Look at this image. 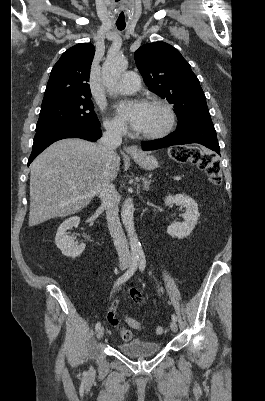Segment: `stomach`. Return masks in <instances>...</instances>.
<instances>
[{"label": "stomach", "mask_w": 265, "mask_h": 401, "mask_svg": "<svg viewBox=\"0 0 265 401\" xmlns=\"http://www.w3.org/2000/svg\"><path fill=\"white\" fill-rule=\"evenodd\" d=\"M132 158H134L135 162L145 168V170H154L159 166V162L155 156L152 154H148V152H140V154H131Z\"/></svg>", "instance_id": "obj_1"}]
</instances>
